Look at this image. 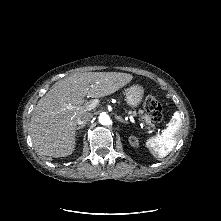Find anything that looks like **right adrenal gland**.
<instances>
[{
  "mask_svg": "<svg viewBox=\"0 0 221 221\" xmlns=\"http://www.w3.org/2000/svg\"><path fill=\"white\" fill-rule=\"evenodd\" d=\"M83 127H84V125L78 126V127L76 128V130L78 131L79 129H81V128H83Z\"/></svg>",
  "mask_w": 221,
  "mask_h": 221,
  "instance_id": "1",
  "label": "right adrenal gland"
}]
</instances>
